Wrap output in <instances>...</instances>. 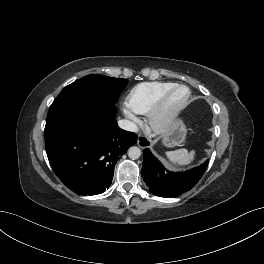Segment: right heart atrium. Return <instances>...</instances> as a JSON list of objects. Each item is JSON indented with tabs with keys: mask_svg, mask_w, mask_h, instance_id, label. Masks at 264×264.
<instances>
[{
	"mask_svg": "<svg viewBox=\"0 0 264 264\" xmlns=\"http://www.w3.org/2000/svg\"><path fill=\"white\" fill-rule=\"evenodd\" d=\"M124 113H125V115L128 116L130 119H132V120H134V121L137 120L136 117H135V115H134V113H133L131 110H129V109H124Z\"/></svg>",
	"mask_w": 264,
	"mask_h": 264,
	"instance_id": "d8ad5b80",
	"label": "right heart atrium"
}]
</instances>
